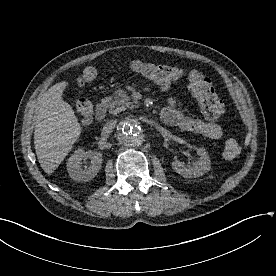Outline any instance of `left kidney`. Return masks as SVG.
<instances>
[{
	"instance_id": "obj_1",
	"label": "left kidney",
	"mask_w": 276,
	"mask_h": 276,
	"mask_svg": "<svg viewBox=\"0 0 276 276\" xmlns=\"http://www.w3.org/2000/svg\"><path fill=\"white\" fill-rule=\"evenodd\" d=\"M199 160L195 161L193 166H185L179 160L172 162L173 170L185 178L199 177L207 173L211 168L210 158L205 148L197 149Z\"/></svg>"
}]
</instances>
